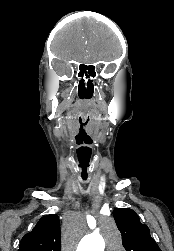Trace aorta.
Instances as JSON below:
<instances>
[{
  "instance_id": "obj_1",
  "label": "aorta",
  "mask_w": 174,
  "mask_h": 251,
  "mask_svg": "<svg viewBox=\"0 0 174 251\" xmlns=\"http://www.w3.org/2000/svg\"><path fill=\"white\" fill-rule=\"evenodd\" d=\"M105 239L96 235H87L79 243L76 251H104L105 246L110 250L118 251L121 247V236L113 225L104 231Z\"/></svg>"
}]
</instances>
